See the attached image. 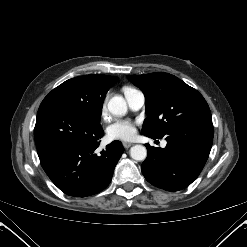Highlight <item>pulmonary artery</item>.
Here are the masks:
<instances>
[{"instance_id": "pulmonary-artery-1", "label": "pulmonary artery", "mask_w": 247, "mask_h": 247, "mask_svg": "<svg viewBox=\"0 0 247 247\" xmlns=\"http://www.w3.org/2000/svg\"><path fill=\"white\" fill-rule=\"evenodd\" d=\"M126 101L128 103V106L133 111L139 110L145 102L144 94L137 89H131L129 91L124 92ZM167 144L166 141H162L161 146L165 147Z\"/></svg>"}]
</instances>
